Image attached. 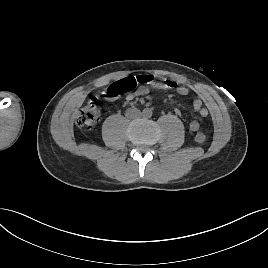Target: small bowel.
<instances>
[{
  "label": "small bowel",
  "instance_id": "obj_1",
  "mask_svg": "<svg viewBox=\"0 0 268 268\" xmlns=\"http://www.w3.org/2000/svg\"><path fill=\"white\" fill-rule=\"evenodd\" d=\"M175 92H177L180 95H187L189 93V89L185 86H175L173 89ZM149 93V89L147 86L141 85L138 88H136L134 91L130 92L125 100L127 103L132 102L138 97L145 96ZM193 108L194 110L199 114L200 119L199 120H192L188 124V129L191 132H196L199 130L201 125V120L203 118H206L209 114L208 109L203 106V102L201 99H195L193 101ZM176 113L180 115V111L176 110Z\"/></svg>",
  "mask_w": 268,
  "mask_h": 268
}]
</instances>
